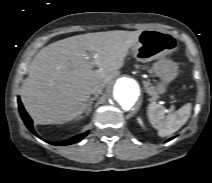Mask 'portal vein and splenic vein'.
I'll use <instances>...</instances> for the list:
<instances>
[{"mask_svg": "<svg viewBox=\"0 0 212 183\" xmlns=\"http://www.w3.org/2000/svg\"><path fill=\"white\" fill-rule=\"evenodd\" d=\"M96 57H97L96 55H93V56L86 55L85 58L90 61V63H91L92 66H94L95 63L93 62V59L96 58ZM172 110H173V106H172Z\"/></svg>", "mask_w": 212, "mask_h": 183, "instance_id": "1", "label": "portal vein and splenic vein"}]
</instances>
